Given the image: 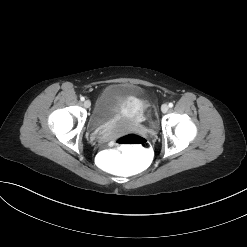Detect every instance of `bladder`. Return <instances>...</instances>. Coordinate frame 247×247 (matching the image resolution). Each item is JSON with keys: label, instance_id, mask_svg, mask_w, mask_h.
<instances>
[{"label": "bladder", "instance_id": "31cf9c89", "mask_svg": "<svg viewBox=\"0 0 247 247\" xmlns=\"http://www.w3.org/2000/svg\"><path fill=\"white\" fill-rule=\"evenodd\" d=\"M150 111L148 99L138 89L112 86L101 95L90 125L96 129H106L119 121L138 125L149 117Z\"/></svg>", "mask_w": 247, "mask_h": 247}]
</instances>
